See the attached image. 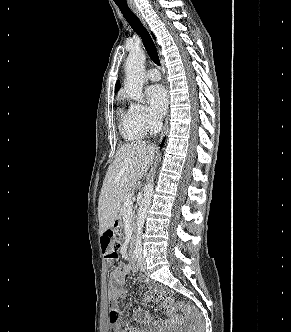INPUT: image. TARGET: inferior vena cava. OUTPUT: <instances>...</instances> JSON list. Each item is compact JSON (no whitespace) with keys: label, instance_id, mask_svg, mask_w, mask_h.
<instances>
[{"label":"inferior vena cava","instance_id":"602c4592","mask_svg":"<svg viewBox=\"0 0 291 332\" xmlns=\"http://www.w3.org/2000/svg\"><path fill=\"white\" fill-rule=\"evenodd\" d=\"M163 123L161 121H155L151 127V134L156 135L162 130Z\"/></svg>","mask_w":291,"mask_h":332}]
</instances>
